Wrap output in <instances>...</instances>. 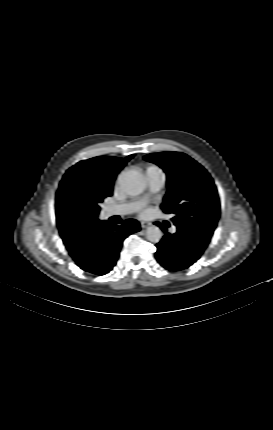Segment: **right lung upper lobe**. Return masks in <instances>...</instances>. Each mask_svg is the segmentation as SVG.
Segmentation results:
<instances>
[{
	"label": "right lung upper lobe",
	"mask_w": 273,
	"mask_h": 430,
	"mask_svg": "<svg viewBox=\"0 0 273 430\" xmlns=\"http://www.w3.org/2000/svg\"><path fill=\"white\" fill-rule=\"evenodd\" d=\"M133 157L126 158L99 156L88 160H83L71 167L64 175L57 196L62 187L73 182L81 188L92 193H103L106 196L112 195L114 180L119 171ZM60 235L68 251H71L82 244L83 231L61 232Z\"/></svg>",
	"instance_id": "obj_1"
}]
</instances>
